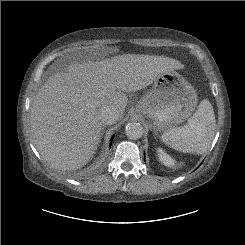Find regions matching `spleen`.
Here are the masks:
<instances>
[{
	"label": "spleen",
	"instance_id": "1",
	"mask_svg": "<svg viewBox=\"0 0 245 245\" xmlns=\"http://www.w3.org/2000/svg\"><path fill=\"white\" fill-rule=\"evenodd\" d=\"M216 121L211 103L204 99L184 127L166 130L162 141L169 147L184 153H205L215 136Z\"/></svg>",
	"mask_w": 245,
	"mask_h": 245
}]
</instances>
